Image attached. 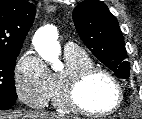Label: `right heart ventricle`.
Listing matches in <instances>:
<instances>
[{
	"label": "right heart ventricle",
	"instance_id": "right-heart-ventricle-1",
	"mask_svg": "<svg viewBox=\"0 0 142 119\" xmlns=\"http://www.w3.org/2000/svg\"><path fill=\"white\" fill-rule=\"evenodd\" d=\"M64 58L66 62V71L61 74H51L52 81L50 99L55 107L65 110L60 102V86L62 76L65 73L74 72L81 68L91 66L93 65V62L88 54L81 49L73 52H65Z\"/></svg>",
	"mask_w": 142,
	"mask_h": 119
}]
</instances>
